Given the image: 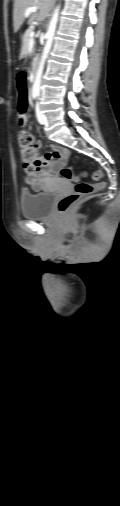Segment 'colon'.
<instances>
[{
  "instance_id": "1",
  "label": "colon",
  "mask_w": 120,
  "mask_h": 506,
  "mask_svg": "<svg viewBox=\"0 0 120 506\" xmlns=\"http://www.w3.org/2000/svg\"><path fill=\"white\" fill-rule=\"evenodd\" d=\"M15 77L17 79L18 88V122L20 125H24L26 122V112L28 108L27 79L29 77V72L27 69H17L15 72ZM18 142L22 167L26 173L32 174L38 169L40 164L39 156L37 154V147L34 144L33 136L28 132L21 131L18 135ZM60 175L63 179L76 181L74 191L60 198L57 203V210L61 214L68 212L75 203L91 195L92 193L101 190L104 186L103 182L91 184L84 181H79L78 177L81 174H77L73 168L61 169ZM101 177L102 172L100 171L95 172L93 175V178L95 180H99Z\"/></svg>"
}]
</instances>
